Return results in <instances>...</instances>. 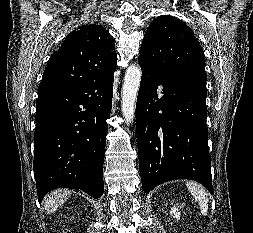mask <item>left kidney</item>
I'll return each instance as SVG.
<instances>
[{
    "instance_id": "1",
    "label": "left kidney",
    "mask_w": 253,
    "mask_h": 233,
    "mask_svg": "<svg viewBox=\"0 0 253 233\" xmlns=\"http://www.w3.org/2000/svg\"><path fill=\"white\" fill-rule=\"evenodd\" d=\"M170 214L176 218V220L180 219V212H179V208L177 206H173L170 210Z\"/></svg>"
}]
</instances>
